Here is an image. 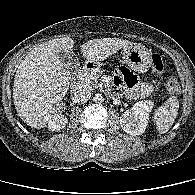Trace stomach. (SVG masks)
<instances>
[{"instance_id":"1","label":"stomach","mask_w":195,"mask_h":195,"mask_svg":"<svg viewBox=\"0 0 195 195\" xmlns=\"http://www.w3.org/2000/svg\"><path fill=\"white\" fill-rule=\"evenodd\" d=\"M125 63L138 73L146 72L152 63L151 53L142 44L133 43L122 51ZM95 65H100L99 62H93Z\"/></svg>"}]
</instances>
